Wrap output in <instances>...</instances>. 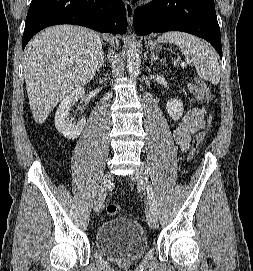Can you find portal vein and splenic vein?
Here are the masks:
<instances>
[{
	"instance_id": "18ae733b",
	"label": "portal vein and splenic vein",
	"mask_w": 253,
	"mask_h": 271,
	"mask_svg": "<svg viewBox=\"0 0 253 271\" xmlns=\"http://www.w3.org/2000/svg\"><path fill=\"white\" fill-rule=\"evenodd\" d=\"M181 67H186V64L184 62H182Z\"/></svg>"
}]
</instances>
